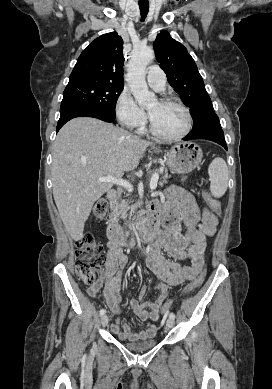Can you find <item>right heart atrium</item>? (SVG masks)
Instances as JSON below:
<instances>
[{
	"label": "right heart atrium",
	"instance_id": "right-heart-atrium-1",
	"mask_svg": "<svg viewBox=\"0 0 272 389\" xmlns=\"http://www.w3.org/2000/svg\"><path fill=\"white\" fill-rule=\"evenodd\" d=\"M115 111L120 123L127 128L140 130L146 124L147 115L145 111L137 105L127 90H123L119 94Z\"/></svg>",
	"mask_w": 272,
	"mask_h": 389
}]
</instances>
